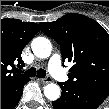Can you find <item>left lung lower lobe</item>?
Returning <instances> with one entry per match:
<instances>
[{"label":"left lung lower lobe","instance_id":"obj_1","mask_svg":"<svg viewBox=\"0 0 109 109\" xmlns=\"http://www.w3.org/2000/svg\"><path fill=\"white\" fill-rule=\"evenodd\" d=\"M58 84L62 94L52 102L54 109H96L108 96L70 81Z\"/></svg>","mask_w":109,"mask_h":109}]
</instances>
